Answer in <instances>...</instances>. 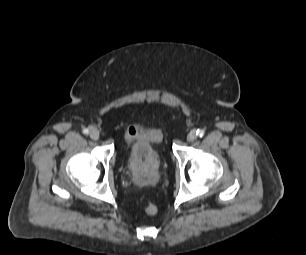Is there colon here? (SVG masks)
I'll return each instance as SVG.
<instances>
[{
  "mask_svg": "<svg viewBox=\"0 0 306 255\" xmlns=\"http://www.w3.org/2000/svg\"><path fill=\"white\" fill-rule=\"evenodd\" d=\"M145 213L148 214V215H154L156 214L157 212V207L156 205H154L153 203H148L146 206H145Z\"/></svg>",
  "mask_w": 306,
  "mask_h": 255,
  "instance_id": "1",
  "label": "colon"
}]
</instances>
